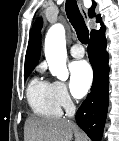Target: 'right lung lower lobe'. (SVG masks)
Instances as JSON below:
<instances>
[{"label": "right lung lower lobe", "mask_w": 119, "mask_h": 141, "mask_svg": "<svg viewBox=\"0 0 119 141\" xmlns=\"http://www.w3.org/2000/svg\"><path fill=\"white\" fill-rule=\"evenodd\" d=\"M101 31L92 30L88 46L89 60L94 71L91 92L79 107L76 121L92 141H100L108 109L109 67L104 25Z\"/></svg>", "instance_id": "1"}]
</instances>
